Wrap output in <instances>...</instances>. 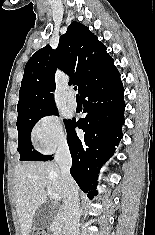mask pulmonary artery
Returning a JSON list of instances; mask_svg holds the SVG:
<instances>
[{
  "mask_svg": "<svg viewBox=\"0 0 155 235\" xmlns=\"http://www.w3.org/2000/svg\"><path fill=\"white\" fill-rule=\"evenodd\" d=\"M67 104L73 110L77 108V100L72 90H70L68 93Z\"/></svg>",
  "mask_w": 155,
  "mask_h": 235,
  "instance_id": "e3ab8cb5",
  "label": "pulmonary artery"
}]
</instances>
